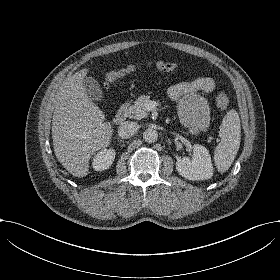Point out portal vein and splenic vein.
<instances>
[{"mask_svg": "<svg viewBox=\"0 0 280 280\" xmlns=\"http://www.w3.org/2000/svg\"><path fill=\"white\" fill-rule=\"evenodd\" d=\"M154 108H155V102H153V101H150L149 103H147L145 105V109L148 110V111H150V110H152Z\"/></svg>", "mask_w": 280, "mask_h": 280, "instance_id": "portal-vein-and-splenic-vein-1", "label": "portal vein and splenic vein"}]
</instances>
